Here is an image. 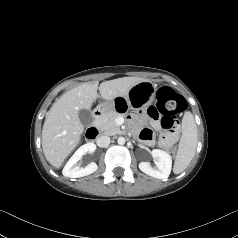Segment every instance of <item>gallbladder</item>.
Instances as JSON below:
<instances>
[{
	"label": "gallbladder",
	"instance_id": "obj_1",
	"mask_svg": "<svg viewBox=\"0 0 238 238\" xmlns=\"http://www.w3.org/2000/svg\"><path fill=\"white\" fill-rule=\"evenodd\" d=\"M79 119L83 126H89L93 122V116L90 110L82 109L78 113Z\"/></svg>",
	"mask_w": 238,
	"mask_h": 238
}]
</instances>
